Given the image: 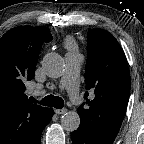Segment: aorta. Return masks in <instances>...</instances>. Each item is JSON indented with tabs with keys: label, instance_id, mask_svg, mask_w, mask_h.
<instances>
[{
	"label": "aorta",
	"instance_id": "aorta-1",
	"mask_svg": "<svg viewBox=\"0 0 144 144\" xmlns=\"http://www.w3.org/2000/svg\"><path fill=\"white\" fill-rule=\"evenodd\" d=\"M42 67L47 76L59 78L64 72V60L60 55L50 53L44 56ZM61 125L66 131L73 132L80 125V116L75 111H69L62 116Z\"/></svg>",
	"mask_w": 144,
	"mask_h": 144
}]
</instances>
